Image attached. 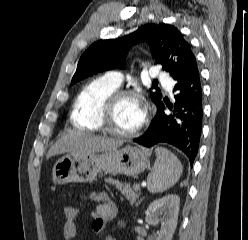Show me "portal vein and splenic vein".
<instances>
[{
    "instance_id": "portal-vein-and-splenic-vein-1",
    "label": "portal vein and splenic vein",
    "mask_w": 248,
    "mask_h": 240,
    "mask_svg": "<svg viewBox=\"0 0 248 240\" xmlns=\"http://www.w3.org/2000/svg\"><path fill=\"white\" fill-rule=\"evenodd\" d=\"M135 187H136L137 189H139V188H140V186H139L138 184H135Z\"/></svg>"
}]
</instances>
